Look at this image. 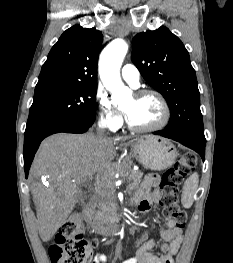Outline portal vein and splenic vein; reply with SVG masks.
Masks as SVG:
<instances>
[{
  "label": "portal vein and splenic vein",
  "mask_w": 233,
  "mask_h": 263,
  "mask_svg": "<svg viewBox=\"0 0 233 263\" xmlns=\"http://www.w3.org/2000/svg\"><path fill=\"white\" fill-rule=\"evenodd\" d=\"M86 181H87V179H85V178H81V179L79 180L80 183H85Z\"/></svg>",
  "instance_id": "1"
}]
</instances>
